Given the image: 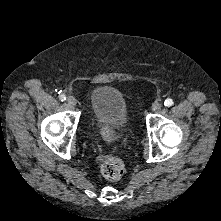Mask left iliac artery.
I'll return each instance as SVG.
<instances>
[{
  "label": "left iliac artery",
  "mask_w": 221,
  "mask_h": 221,
  "mask_svg": "<svg viewBox=\"0 0 221 221\" xmlns=\"http://www.w3.org/2000/svg\"><path fill=\"white\" fill-rule=\"evenodd\" d=\"M164 105L167 106V107H170L173 105V100L170 99V98H167L164 102Z\"/></svg>",
  "instance_id": "obj_1"
}]
</instances>
